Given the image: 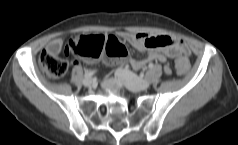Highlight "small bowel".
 Listing matches in <instances>:
<instances>
[{"label":"small bowel","mask_w":238,"mask_h":145,"mask_svg":"<svg viewBox=\"0 0 238 145\" xmlns=\"http://www.w3.org/2000/svg\"><path fill=\"white\" fill-rule=\"evenodd\" d=\"M118 35L129 42L138 51L146 53V57L143 59L129 57L128 63L135 70L143 68L151 61L165 63L168 58H172L175 55L186 57L189 54V49L182 39L172 38L168 35L149 36L144 33L132 34L128 32H119ZM53 46H56V50H54L53 53L56 55L59 54L62 47V40L59 38L51 40L47 45V50L52 51ZM99 59L94 62L84 61L87 63H95L98 62ZM78 63V61L74 62L76 65ZM165 72H171L167 65L165 66Z\"/></svg>","instance_id":"obj_1"}]
</instances>
